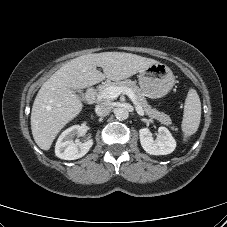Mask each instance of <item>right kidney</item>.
Instances as JSON below:
<instances>
[{
  "instance_id": "1",
  "label": "right kidney",
  "mask_w": 227,
  "mask_h": 227,
  "mask_svg": "<svg viewBox=\"0 0 227 227\" xmlns=\"http://www.w3.org/2000/svg\"><path fill=\"white\" fill-rule=\"evenodd\" d=\"M81 131L80 125H74L62 132L55 145L57 157L64 160H75L87 154L93 145V140L89 138L85 142L74 141L75 136L80 135Z\"/></svg>"
}]
</instances>
